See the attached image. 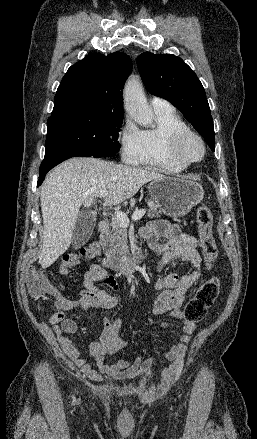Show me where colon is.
<instances>
[{
    "label": "colon",
    "instance_id": "colon-1",
    "mask_svg": "<svg viewBox=\"0 0 257 439\" xmlns=\"http://www.w3.org/2000/svg\"><path fill=\"white\" fill-rule=\"evenodd\" d=\"M196 222L199 234V243L208 266H212L218 256V248L213 236V215L208 206H201L197 210ZM100 253V246L96 241L90 242L78 252H71L64 256L62 272L66 273L68 268L76 265L79 257L93 258ZM27 287L29 292L36 299L53 297L55 288L46 275L38 269L32 268L28 271ZM220 290V281L217 277L206 280L196 291L195 295L186 303L183 311V323L194 324L202 320L207 310L213 305Z\"/></svg>",
    "mask_w": 257,
    "mask_h": 439
}]
</instances>
